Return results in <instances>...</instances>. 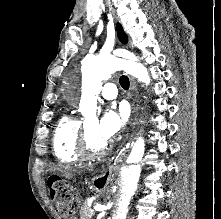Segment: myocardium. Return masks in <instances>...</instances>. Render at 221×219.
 <instances>
[{
	"mask_svg": "<svg viewBox=\"0 0 221 219\" xmlns=\"http://www.w3.org/2000/svg\"><path fill=\"white\" fill-rule=\"evenodd\" d=\"M109 149L110 144L108 142H105V144L98 150L90 148L88 143L86 124L82 125L77 144V153L81 159L92 160L103 157L108 153Z\"/></svg>",
	"mask_w": 221,
	"mask_h": 219,
	"instance_id": "1",
	"label": "myocardium"
}]
</instances>
